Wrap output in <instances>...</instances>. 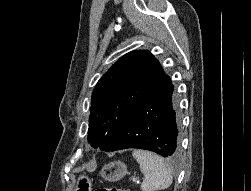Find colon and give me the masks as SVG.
Wrapping results in <instances>:
<instances>
[{
  "label": "colon",
  "instance_id": "1",
  "mask_svg": "<svg viewBox=\"0 0 251 191\" xmlns=\"http://www.w3.org/2000/svg\"><path fill=\"white\" fill-rule=\"evenodd\" d=\"M97 191H124V190L115 187H100L97 189Z\"/></svg>",
  "mask_w": 251,
  "mask_h": 191
}]
</instances>
